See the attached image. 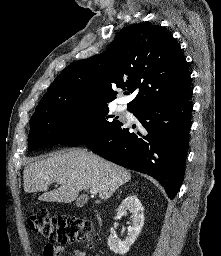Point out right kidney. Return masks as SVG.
Segmentation results:
<instances>
[{"mask_svg":"<svg viewBox=\"0 0 221 256\" xmlns=\"http://www.w3.org/2000/svg\"><path fill=\"white\" fill-rule=\"evenodd\" d=\"M143 206L135 195L126 197L118 208L117 216H124L129 211L132 216V223L129 227L128 237L125 241H121L116 235L111 234L108 238V246L111 251L120 255L126 254L131 245L139 236L144 224Z\"/></svg>","mask_w":221,"mask_h":256,"instance_id":"right-kidney-1","label":"right kidney"}]
</instances>
